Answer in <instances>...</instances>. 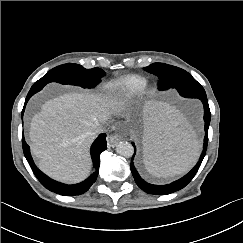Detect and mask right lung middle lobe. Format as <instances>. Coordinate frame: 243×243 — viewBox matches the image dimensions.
Segmentation results:
<instances>
[{"instance_id":"dd1d6c3e","label":"right lung middle lobe","mask_w":243,"mask_h":243,"mask_svg":"<svg viewBox=\"0 0 243 243\" xmlns=\"http://www.w3.org/2000/svg\"><path fill=\"white\" fill-rule=\"evenodd\" d=\"M104 75L105 72L100 68L85 69L81 65L67 63L53 68L35 82L34 85L45 86L50 82H58L61 84L77 85L83 88H93Z\"/></svg>"}]
</instances>
